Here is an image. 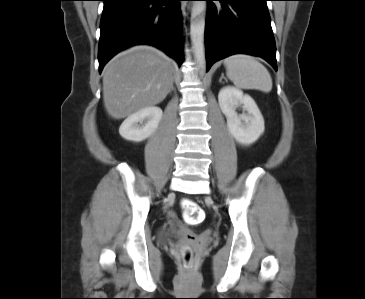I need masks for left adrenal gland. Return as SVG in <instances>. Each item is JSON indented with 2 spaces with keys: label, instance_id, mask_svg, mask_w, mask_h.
I'll use <instances>...</instances> for the list:
<instances>
[{
  "label": "left adrenal gland",
  "instance_id": "a2214340",
  "mask_svg": "<svg viewBox=\"0 0 365 299\" xmlns=\"http://www.w3.org/2000/svg\"><path fill=\"white\" fill-rule=\"evenodd\" d=\"M222 79H225L226 80V78L224 77V74H222L221 77H220V79H219V82L220 83H222Z\"/></svg>",
  "mask_w": 365,
  "mask_h": 299
}]
</instances>
